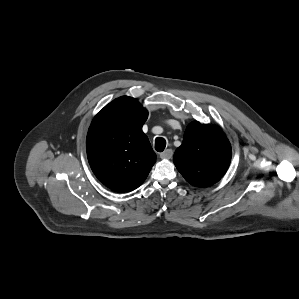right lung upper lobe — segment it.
<instances>
[{
    "label": "right lung upper lobe",
    "mask_w": 299,
    "mask_h": 299,
    "mask_svg": "<svg viewBox=\"0 0 299 299\" xmlns=\"http://www.w3.org/2000/svg\"><path fill=\"white\" fill-rule=\"evenodd\" d=\"M148 112L134 98L119 97L93 119L86 149L95 176L108 188L129 192L139 187L156 162L142 126Z\"/></svg>",
    "instance_id": "right-lung-upper-lobe-1"
}]
</instances>
